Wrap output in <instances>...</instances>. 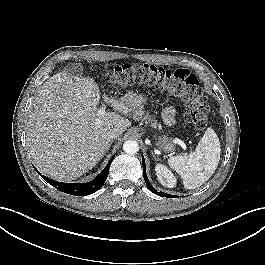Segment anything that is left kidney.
Here are the masks:
<instances>
[{
    "label": "left kidney",
    "mask_w": 265,
    "mask_h": 265,
    "mask_svg": "<svg viewBox=\"0 0 265 265\" xmlns=\"http://www.w3.org/2000/svg\"><path fill=\"white\" fill-rule=\"evenodd\" d=\"M156 175L158 177V180L160 183L167 187V188H173L176 184V178L172 174L170 170L167 169L166 166L162 164H158L155 167Z\"/></svg>",
    "instance_id": "1"
}]
</instances>
